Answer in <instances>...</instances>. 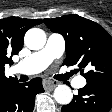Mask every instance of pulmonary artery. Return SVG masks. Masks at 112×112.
<instances>
[{"mask_svg": "<svg viewBox=\"0 0 112 112\" xmlns=\"http://www.w3.org/2000/svg\"><path fill=\"white\" fill-rule=\"evenodd\" d=\"M64 49L65 41L63 37L58 34H50L44 48L21 60L15 65L14 71L25 75L40 73L54 59L59 58ZM72 84L75 88H82L86 85V79L83 76H77Z\"/></svg>", "mask_w": 112, "mask_h": 112, "instance_id": "obj_1", "label": "pulmonary artery"}]
</instances>
